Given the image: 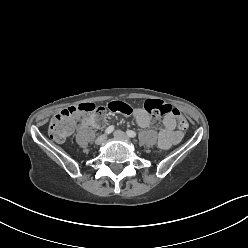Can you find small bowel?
Returning <instances> with one entry per match:
<instances>
[{
    "label": "small bowel",
    "mask_w": 248,
    "mask_h": 248,
    "mask_svg": "<svg viewBox=\"0 0 248 248\" xmlns=\"http://www.w3.org/2000/svg\"><path fill=\"white\" fill-rule=\"evenodd\" d=\"M133 112L136 122L140 127L146 128L150 126L152 119L145 110L136 108L133 110ZM162 122L163 128L160 129L158 133V145L160 148L166 150L180 141L181 134L174 130L176 125V118L173 114H167L163 118ZM88 123L91 124L90 121H88Z\"/></svg>",
    "instance_id": "1"
}]
</instances>
